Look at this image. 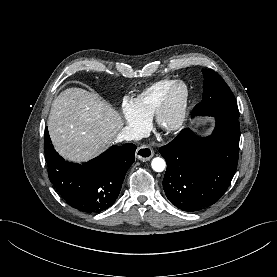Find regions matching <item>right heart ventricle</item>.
I'll list each match as a JSON object with an SVG mask.
<instances>
[{
  "instance_id": "right-heart-ventricle-1",
  "label": "right heart ventricle",
  "mask_w": 277,
  "mask_h": 277,
  "mask_svg": "<svg viewBox=\"0 0 277 277\" xmlns=\"http://www.w3.org/2000/svg\"><path fill=\"white\" fill-rule=\"evenodd\" d=\"M174 82L175 80L164 79L148 86L131 101L134 111L143 119H150L154 115L164 94Z\"/></svg>"
}]
</instances>
